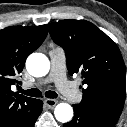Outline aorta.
I'll return each instance as SVG.
<instances>
[{
	"label": "aorta",
	"mask_w": 127,
	"mask_h": 127,
	"mask_svg": "<svg viewBox=\"0 0 127 127\" xmlns=\"http://www.w3.org/2000/svg\"><path fill=\"white\" fill-rule=\"evenodd\" d=\"M26 69L34 77H43L49 72V59L42 53H32L26 60ZM54 115L59 122H69L73 117V108L68 103H59Z\"/></svg>",
	"instance_id": "1"
}]
</instances>
